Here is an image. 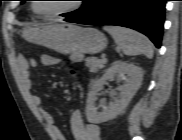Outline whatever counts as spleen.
Returning <instances> with one entry per match:
<instances>
[{"label": "spleen", "instance_id": "spleen-1", "mask_svg": "<svg viewBox=\"0 0 182 140\" xmlns=\"http://www.w3.org/2000/svg\"><path fill=\"white\" fill-rule=\"evenodd\" d=\"M103 29L112 36L125 55L144 54L150 59L153 57L152 44L141 33L120 26H105Z\"/></svg>", "mask_w": 182, "mask_h": 140}]
</instances>
